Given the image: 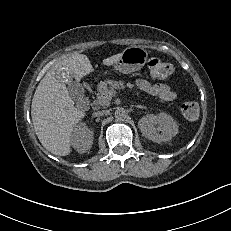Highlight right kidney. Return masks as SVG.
Listing matches in <instances>:
<instances>
[{
  "instance_id": "right-kidney-1",
  "label": "right kidney",
  "mask_w": 231,
  "mask_h": 231,
  "mask_svg": "<svg viewBox=\"0 0 231 231\" xmlns=\"http://www.w3.org/2000/svg\"><path fill=\"white\" fill-rule=\"evenodd\" d=\"M93 131L90 130L84 123L78 124L72 134L71 144L78 153H85L92 147Z\"/></svg>"
}]
</instances>
